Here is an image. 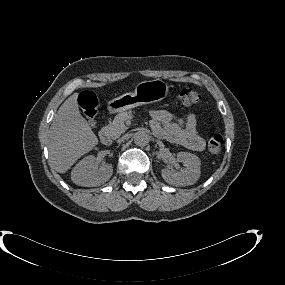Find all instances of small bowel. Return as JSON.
I'll list each match as a JSON object with an SVG mask.
<instances>
[{
	"label": "small bowel",
	"instance_id": "small-bowel-1",
	"mask_svg": "<svg viewBox=\"0 0 285 285\" xmlns=\"http://www.w3.org/2000/svg\"><path fill=\"white\" fill-rule=\"evenodd\" d=\"M151 118V127L158 137L193 151L204 149L203 138L196 127L195 114H189L175 122L169 111L157 109L151 111Z\"/></svg>",
	"mask_w": 285,
	"mask_h": 285
}]
</instances>
